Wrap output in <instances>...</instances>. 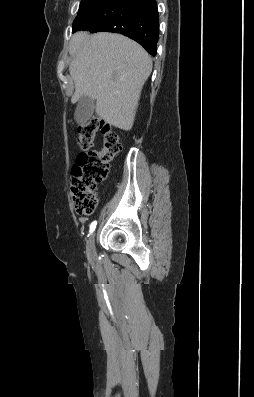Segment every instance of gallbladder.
<instances>
[{"label":"gallbladder","mask_w":254,"mask_h":397,"mask_svg":"<svg viewBox=\"0 0 254 397\" xmlns=\"http://www.w3.org/2000/svg\"><path fill=\"white\" fill-rule=\"evenodd\" d=\"M93 112L94 100L88 96L81 97L74 114L76 122L80 125H84L90 119Z\"/></svg>","instance_id":"bac80fb5"}]
</instances>
